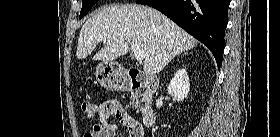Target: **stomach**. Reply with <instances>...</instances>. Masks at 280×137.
Returning <instances> with one entry per match:
<instances>
[{"mask_svg":"<svg viewBox=\"0 0 280 137\" xmlns=\"http://www.w3.org/2000/svg\"><path fill=\"white\" fill-rule=\"evenodd\" d=\"M96 78L99 83L109 90L122 89L123 73L113 62L103 61L97 65Z\"/></svg>","mask_w":280,"mask_h":137,"instance_id":"0dacf381","label":"stomach"}]
</instances>
